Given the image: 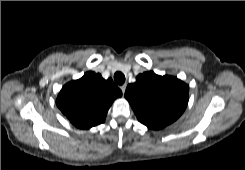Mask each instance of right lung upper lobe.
<instances>
[{"label":"right lung upper lobe","mask_w":245,"mask_h":170,"mask_svg":"<svg viewBox=\"0 0 245 170\" xmlns=\"http://www.w3.org/2000/svg\"><path fill=\"white\" fill-rule=\"evenodd\" d=\"M121 96L112 79L105 80L99 73L89 71L64 85L56 104L73 125L89 129L105 121L113 101Z\"/></svg>","instance_id":"right-lung-upper-lobe-1"}]
</instances>
